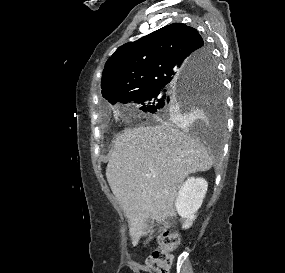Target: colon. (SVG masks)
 Wrapping results in <instances>:
<instances>
[{
	"label": "colon",
	"mask_w": 285,
	"mask_h": 273,
	"mask_svg": "<svg viewBox=\"0 0 285 273\" xmlns=\"http://www.w3.org/2000/svg\"><path fill=\"white\" fill-rule=\"evenodd\" d=\"M180 239L179 235L170 230L164 229L159 238L158 246L146 259V265L153 273H168L173 253L177 250Z\"/></svg>",
	"instance_id": "1"
}]
</instances>
